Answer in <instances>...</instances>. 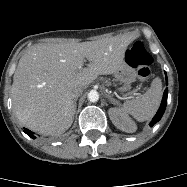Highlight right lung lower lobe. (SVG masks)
Masks as SVG:
<instances>
[{
	"label": "right lung lower lobe",
	"mask_w": 187,
	"mask_h": 187,
	"mask_svg": "<svg viewBox=\"0 0 187 187\" xmlns=\"http://www.w3.org/2000/svg\"><path fill=\"white\" fill-rule=\"evenodd\" d=\"M24 132H25L27 135H29L31 138H33V139L35 138L34 135H33V132H31L30 130L24 128Z\"/></svg>",
	"instance_id": "obj_1"
}]
</instances>
